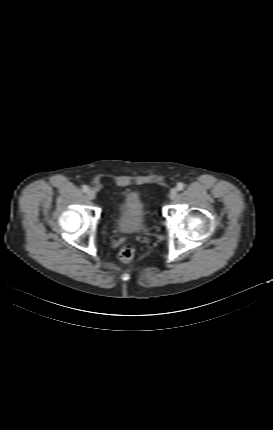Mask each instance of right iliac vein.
<instances>
[{
  "instance_id": "right-iliac-vein-1",
  "label": "right iliac vein",
  "mask_w": 273,
  "mask_h": 430,
  "mask_svg": "<svg viewBox=\"0 0 273 430\" xmlns=\"http://www.w3.org/2000/svg\"><path fill=\"white\" fill-rule=\"evenodd\" d=\"M86 195H87V198H88V199L92 200V199H94V198H95L96 193H95V191H94V190H88Z\"/></svg>"
}]
</instances>
